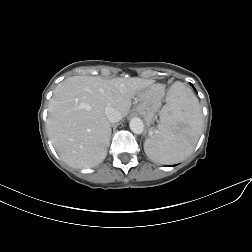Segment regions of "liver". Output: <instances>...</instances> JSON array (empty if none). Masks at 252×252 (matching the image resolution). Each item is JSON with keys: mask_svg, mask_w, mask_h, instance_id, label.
<instances>
[{"mask_svg": "<svg viewBox=\"0 0 252 252\" xmlns=\"http://www.w3.org/2000/svg\"><path fill=\"white\" fill-rule=\"evenodd\" d=\"M153 83L138 77L106 80L94 76H73L59 83L49 102L46 128L60 158L74 168L100 164L111 136L105 107L125 117L132 99Z\"/></svg>", "mask_w": 252, "mask_h": 252, "instance_id": "obj_1", "label": "liver"}]
</instances>
